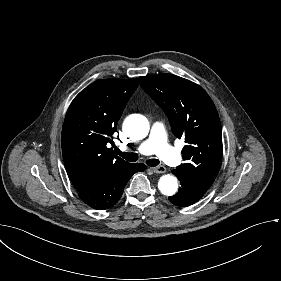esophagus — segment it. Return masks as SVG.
<instances>
[{
	"label": "esophagus",
	"mask_w": 281,
	"mask_h": 281,
	"mask_svg": "<svg viewBox=\"0 0 281 281\" xmlns=\"http://www.w3.org/2000/svg\"><path fill=\"white\" fill-rule=\"evenodd\" d=\"M153 172L161 174V173H165L166 172V167L160 165L157 167L152 168Z\"/></svg>",
	"instance_id": "1"
}]
</instances>
